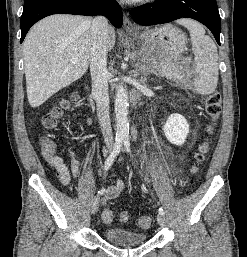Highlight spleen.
Wrapping results in <instances>:
<instances>
[{
  "label": "spleen",
  "instance_id": "spleen-1",
  "mask_svg": "<svg viewBox=\"0 0 247 257\" xmlns=\"http://www.w3.org/2000/svg\"><path fill=\"white\" fill-rule=\"evenodd\" d=\"M178 24L190 32L194 53V86L203 95L215 91L218 82V52L213 40L205 35V29L191 19H180Z\"/></svg>",
  "mask_w": 247,
  "mask_h": 257
}]
</instances>
